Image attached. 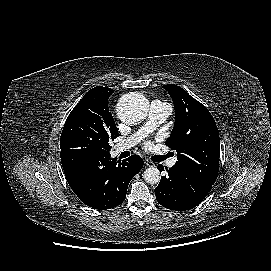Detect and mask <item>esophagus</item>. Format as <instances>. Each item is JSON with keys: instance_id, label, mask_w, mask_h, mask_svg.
Segmentation results:
<instances>
[{"instance_id": "esophagus-1", "label": "esophagus", "mask_w": 271, "mask_h": 271, "mask_svg": "<svg viewBox=\"0 0 271 271\" xmlns=\"http://www.w3.org/2000/svg\"><path fill=\"white\" fill-rule=\"evenodd\" d=\"M144 164L147 166V167H152L154 166V163L148 159H145L144 160Z\"/></svg>"}]
</instances>
